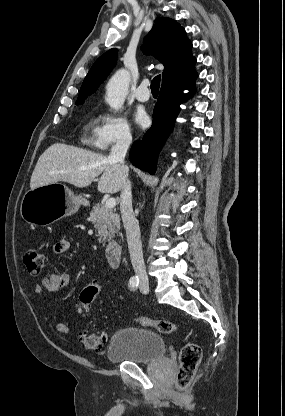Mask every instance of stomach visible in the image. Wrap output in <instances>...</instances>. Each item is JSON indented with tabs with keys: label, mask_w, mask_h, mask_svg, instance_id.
I'll return each mask as SVG.
<instances>
[{
	"label": "stomach",
	"mask_w": 285,
	"mask_h": 416,
	"mask_svg": "<svg viewBox=\"0 0 285 416\" xmlns=\"http://www.w3.org/2000/svg\"><path fill=\"white\" fill-rule=\"evenodd\" d=\"M83 200L74 196L73 192L60 184H48L35 190H28L20 206V214L33 226H49L61 218H67L78 212Z\"/></svg>",
	"instance_id": "1"
}]
</instances>
